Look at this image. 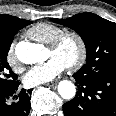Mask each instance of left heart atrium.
Here are the masks:
<instances>
[{"mask_svg": "<svg viewBox=\"0 0 116 116\" xmlns=\"http://www.w3.org/2000/svg\"><path fill=\"white\" fill-rule=\"evenodd\" d=\"M67 66L61 58L52 56L48 61L30 68L24 75V83L28 86H37L50 82L57 78Z\"/></svg>", "mask_w": 116, "mask_h": 116, "instance_id": "1", "label": "left heart atrium"}]
</instances>
